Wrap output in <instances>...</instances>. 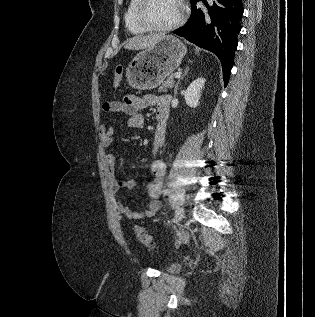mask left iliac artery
Segmentation results:
<instances>
[{
	"label": "left iliac artery",
	"instance_id": "obj_1",
	"mask_svg": "<svg viewBox=\"0 0 315 317\" xmlns=\"http://www.w3.org/2000/svg\"><path fill=\"white\" fill-rule=\"evenodd\" d=\"M164 194H166V195L170 194V190H168V189L165 190V191H164Z\"/></svg>",
	"mask_w": 315,
	"mask_h": 317
}]
</instances>
